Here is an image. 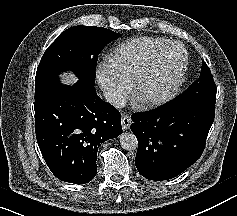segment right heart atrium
I'll use <instances>...</instances> for the list:
<instances>
[{
	"mask_svg": "<svg viewBox=\"0 0 237 216\" xmlns=\"http://www.w3.org/2000/svg\"><path fill=\"white\" fill-rule=\"evenodd\" d=\"M98 78L106 96L113 102L119 103L128 95V86L111 77L104 63L98 68Z\"/></svg>",
	"mask_w": 237,
	"mask_h": 216,
	"instance_id": "1",
	"label": "right heart atrium"
}]
</instances>
